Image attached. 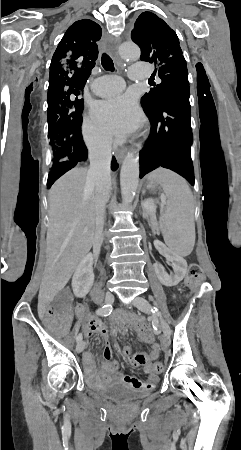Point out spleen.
I'll return each instance as SVG.
<instances>
[{"mask_svg":"<svg viewBox=\"0 0 241 450\" xmlns=\"http://www.w3.org/2000/svg\"><path fill=\"white\" fill-rule=\"evenodd\" d=\"M147 182V188L160 184L168 198V208L159 220L165 244L177 256H189L195 244V226L194 200L188 184L184 178L164 168L149 174Z\"/></svg>","mask_w":241,"mask_h":450,"instance_id":"3e777b00","label":"spleen"}]
</instances>
